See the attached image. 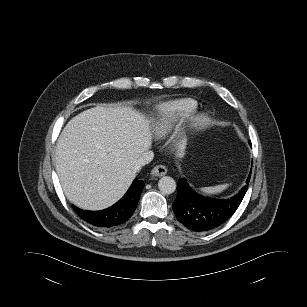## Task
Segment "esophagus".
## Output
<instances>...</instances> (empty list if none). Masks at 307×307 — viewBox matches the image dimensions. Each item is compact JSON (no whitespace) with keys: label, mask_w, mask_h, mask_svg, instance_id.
Segmentation results:
<instances>
[{"label":"esophagus","mask_w":307,"mask_h":307,"mask_svg":"<svg viewBox=\"0 0 307 307\" xmlns=\"http://www.w3.org/2000/svg\"><path fill=\"white\" fill-rule=\"evenodd\" d=\"M166 173H167V168L164 165H156L151 170V175L156 176V177L164 176Z\"/></svg>","instance_id":"esophagus-1"}]
</instances>
